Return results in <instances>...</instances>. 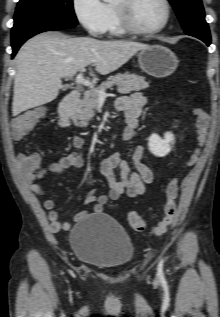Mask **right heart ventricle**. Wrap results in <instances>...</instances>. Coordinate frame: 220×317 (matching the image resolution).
Here are the masks:
<instances>
[{"label": "right heart ventricle", "instance_id": "1", "mask_svg": "<svg viewBox=\"0 0 220 317\" xmlns=\"http://www.w3.org/2000/svg\"><path fill=\"white\" fill-rule=\"evenodd\" d=\"M108 9V22L106 31L113 36H122L124 31L120 28L117 21L113 6H107Z\"/></svg>", "mask_w": 220, "mask_h": 317}]
</instances>
